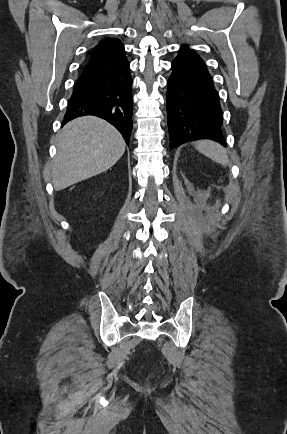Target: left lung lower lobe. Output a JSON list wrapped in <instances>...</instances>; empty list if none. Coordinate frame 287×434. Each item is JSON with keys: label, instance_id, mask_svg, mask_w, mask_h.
I'll list each match as a JSON object with an SVG mask.
<instances>
[{"label": "left lung lower lobe", "instance_id": "0a47b994", "mask_svg": "<svg viewBox=\"0 0 287 434\" xmlns=\"http://www.w3.org/2000/svg\"><path fill=\"white\" fill-rule=\"evenodd\" d=\"M166 100L170 148L198 139L226 145L219 95L198 55L179 53L173 60Z\"/></svg>", "mask_w": 287, "mask_h": 434}]
</instances>
